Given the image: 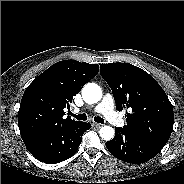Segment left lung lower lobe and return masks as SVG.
<instances>
[{"label": "left lung lower lobe", "instance_id": "left-lung-lower-lobe-1", "mask_svg": "<svg viewBox=\"0 0 184 184\" xmlns=\"http://www.w3.org/2000/svg\"><path fill=\"white\" fill-rule=\"evenodd\" d=\"M106 147L117 159L127 163L141 164L154 158L161 147L126 128H116L115 137Z\"/></svg>", "mask_w": 184, "mask_h": 184}]
</instances>
